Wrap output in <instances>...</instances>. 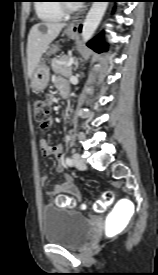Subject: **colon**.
<instances>
[{"label": "colon", "mask_w": 158, "mask_h": 275, "mask_svg": "<svg viewBox=\"0 0 158 275\" xmlns=\"http://www.w3.org/2000/svg\"><path fill=\"white\" fill-rule=\"evenodd\" d=\"M34 117L36 121L41 123V127L45 128L47 115L49 113V100L44 97H35L33 99ZM114 194L111 191L104 192L102 200L95 205L96 212H103L107 206L113 203ZM59 207H73L75 201L66 196H58L54 200Z\"/></svg>", "instance_id": "colon-1"}]
</instances>
